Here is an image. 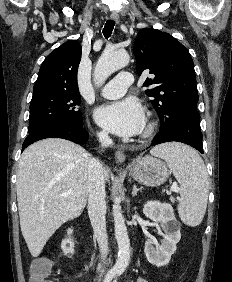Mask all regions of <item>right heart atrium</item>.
Returning <instances> with one entry per match:
<instances>
[{"label":"right heart atrium","mask_w":232,"mask_h":282,"mask_svg":"<svg viewBox=\"0 0 232 282\" xmlns=\"http://www.w3.org/2000/svg\"><path fill=\"white\" fill-rule=\"evenodd\" d=\"M98 137L101 141H107L108 140V136L104 131L98 132Z\"/></svg>","instance_id":"d8ad5b80"}]
</instances>
